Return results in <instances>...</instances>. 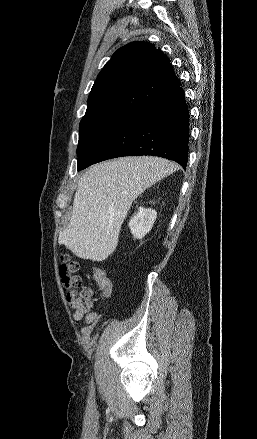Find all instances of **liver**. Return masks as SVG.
Instances as JSON below:
<instances>
[{"label":"liver","instance_id":"1","mask_svg":"<svg viewBox=\"0 0 257 439\" xmlns=\"http://www.w3.org/2000/svg\"><path fill=\"white\" fill-rule=\"evenodd\" d=\"M177 166L160 157H121L91 166L81 176L68 226L59 243L92 261L106 260L116 249L132 202Z\"/></svg>","mask_w":257,"mask_h":439}]
</instances>
